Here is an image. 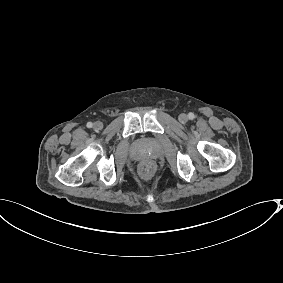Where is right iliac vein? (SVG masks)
Returning a JSON list of instances; mask_svg holds the SVG:
<instances>
[{"label":"right iliac vein","mask_w":283,"mask_h":283,"mask_svg":"<svg viewBox=\"0 0 283 283\" xmlns=\"http://www.w3.org/2000/svg\"><path fill=\"white\" fill-rule=\"evenodd\" d=\"M103 128V123L100 122V121H96L94 124H93V129L95 131H99Z\"/></svg>","instance_id":"1"}]
</instances>
